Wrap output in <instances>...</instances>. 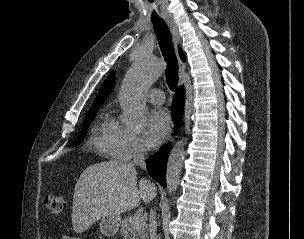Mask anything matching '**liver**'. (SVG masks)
I'll use <instances>...</instances> for the list:
<instances>
[{"mask_svg": "<svg viewBox=\"0 0 304 239\" xmlns=\"http://www.w3.org/2000/svg\"><path fill=\"white\" fill-rule=\"evenodd\" d=\"M156 187L141 179L137 186L134 166L118 161L101 162L87 167L76 182L72 225L82 233L105 216H118L136 208L140 200L151 201Z\"/></svg>", "mask_w": 304, "mask_h": 239, "instance_id": "obj_1", "label": "liver"}]
</instances>
